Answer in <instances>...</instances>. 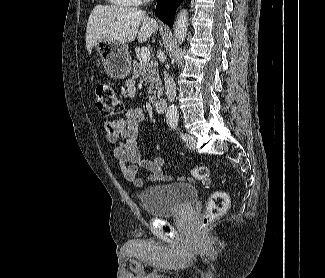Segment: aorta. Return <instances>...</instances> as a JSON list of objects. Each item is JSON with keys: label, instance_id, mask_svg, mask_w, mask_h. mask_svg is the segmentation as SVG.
Returning <instances> with one entry per match:
<instances>
[{"label": "aorta", "instance_id": "obj_1", "mask_svg": "<svg viewBox=\"0 0 325 278\" xmlns=\"http://www.w3.org/2000/svg\"><path fill=\"white\" fill-rule=\"evenodd\" d=\"M188 13L186 10H181L174 22V36L179 43H182L188 31ZM166 119L169 123H176L178 121V110L175 106H170L166 111Z\"/></svg>", "mask_w": 325, "mask_h": 278}]
</instances>
